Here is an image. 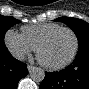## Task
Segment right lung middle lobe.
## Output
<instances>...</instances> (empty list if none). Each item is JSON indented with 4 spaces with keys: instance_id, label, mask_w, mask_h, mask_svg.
Wrapping results in <instances>:
<instances>
[{
    "instance_id": "right-lung-middle-lobe-1",
    "label": "right lung middle lobe",
    "mask_w": 89,
    "mask_h": 89,
    "mask_svg": "<svg viewBox=\"0 0 89 89\" xmlns=\"http://www.w3.org/2000/svg\"><path fill=\"white\" fill-rule=\"evenodd\" d=\"M17 23L20 21L13 17L0 15V48L5 47L4 36L7 30Z\"/></svg>"
}]
</instances>
